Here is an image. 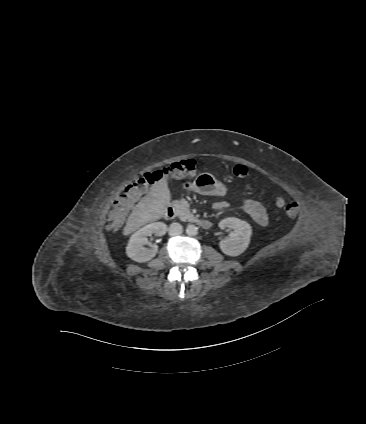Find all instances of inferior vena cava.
I'll return each mask as SVG.
<instances>
[{
    "instance_id": "602c4592",
    "label": "inferior vena cava",
    "mask_w": 366,
    "mask_h": 424,
    "mask_svg": "<svg viewBox=\"0 0 366 424\" xmlns=\"http://www.w3.org/2000/svg\"><path fill=\"white\" fill-rule=\"evenodd\" d=\"M183 231L182 225L179 223H172L168 229L170 236L180 235Z\"/></svg>"
}]
</instances>
